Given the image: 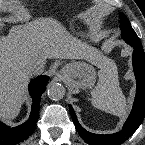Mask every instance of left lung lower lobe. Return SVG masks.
<instances>
[{"label": "left lung lower lobe", "mask_w": 145, "mask_h": 145, "mask_svg": "<svg viewBox=\"0 0 145 145\" xmlns=\"http://www.w3.org/2000/svg\"><path fill=\"white\" fill-rule=\"evenodd\" d=\"M128 43V42H127ZM130 44V43H128ZM134 47L132 55L133 69L136 77V97L134 105L122 130L114 134L99 135L86 131L78 122L75 112L69 105L72 120L80 137L90 145H120L127 140L141 125L145 116V57L142 45Z\"/></svg>", "instance_id": "left-lung-lower-lobe-1"}]
</instances>
